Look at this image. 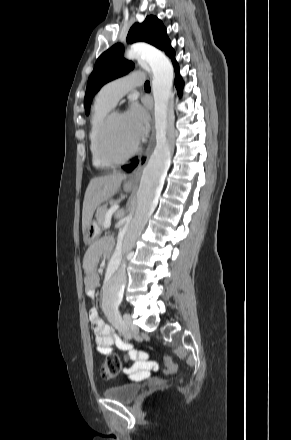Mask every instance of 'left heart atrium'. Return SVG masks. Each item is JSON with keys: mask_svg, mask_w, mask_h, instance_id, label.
<instances>
[{"mask_svg": "<svg viewBox=\"0 0 291 440\" xmlns=\"http://www.w3.org/2000/svg\"><path fill=\"white\" fill-rule=\"evenodd\" d=\"M135 138L139 140L147 130L149 117L142 106L134 103L123 114Z\"/></svg>", "mask_w": 291, "mask_h": 440, "instance_id": "39dd6f15", "label": "left heart atrium"}]
</instances>
